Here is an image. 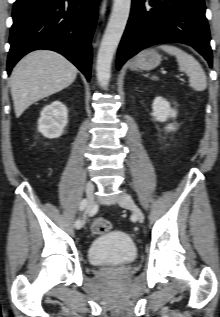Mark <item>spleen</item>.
Wrapping results in <instances>:
<instances>
[{"mask_svg": "<svg viewBox=\"0 0 220 317\" xmlns=\"http://www.w3.org/2000/svg\"><path fill=\"white\" fill-rule=\"evenodd\" d=\"M159 48L176 57L179 71L187 73L189 76V85L195 91H204L206 89V74L200 63L192 55L173 45H161ZM152 79L157 80L158 78L153 76Z\"/></svg>", "mask_w": 220, "mask_h": 317, "instance_id": "obj_1", "label": "spleen"}]
</instances>
